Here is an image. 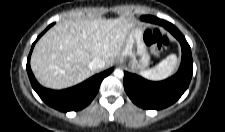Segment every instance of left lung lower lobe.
Wrapping results in <instances>:
<instances>
[{
	"label": "left lung lower lobe",
	"instance_id": "0a47b994",
	"mask_svg": "<svg viewBox=\"0 0 225 132\" xmlns=\"http://www.w3.org/2000/svg\"><path fill=\"white\" fill-rule=\"evenodd\" d=\"M141 20L163 26L180 42L182 48L178 72L164 81L152 82L124 72V89L130 99L141 108L159 110L175 103L188 88L193 72L191 48L173 24L153 16H142Z\"/></svg>",
	"mask_w": 225,
	"mask_h": 132
}]
</instances>
